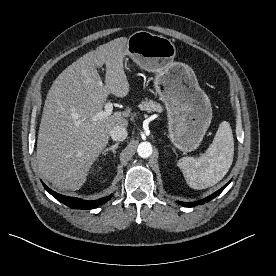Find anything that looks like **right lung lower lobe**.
I'll use <instances>...</instances> for the list:
<instances>
[{"label": "right lung lower lobe", "mask_w": 276, "mask_h": 276, "mask_svg": "<svg viewBox=\"0 0 276 276\" xmlns=\"http://www.w3.org/2000/svg\"><path fill=\"white\" fill-rule=\"evenodd\" d=\"M43 186L59 202L65 204L68 207L73 208V209H91V208L97 207L101 204H104L112 196V195H110L108 197H103V198H101L99 200H95V201H86V200H82V199H78V198H74V197H67V196L58 194V193L52 191L51 189H49L45 184H43Z\"/></svg>", "instance_id": "obj_1"}]
</instances>
